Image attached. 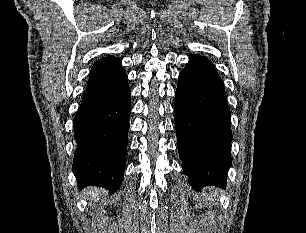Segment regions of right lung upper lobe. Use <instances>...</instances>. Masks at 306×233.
Here are the masks:
<instances>
[{
	"label": "right lung upper lobe",
	"mask_w": 306,
	"mask_h": 233,
	"mask_svg": "<svg viewBox=\"0 0 306 233\" xmlns=\"http://www.w3.org/2000/svg\"><path fill=\"white\" fill-rule=\"evenodd\" d=\"M123 70L121 62L118 58L108 56L96 61L91 69V75L87 84L92 87L107 81Z\"/></svg>",
	"instance_id": "1"
}]
</instances>
